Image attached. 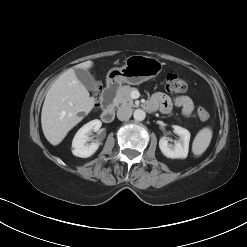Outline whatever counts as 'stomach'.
I'll return each mask as SVG.
<instances>
[{
    "mask_svg": "<svg viewBox=\"0 0 247 247\" xmlns=\"http://www.w3.org/2000/svg\"><path fill=\"white\" fill-rule=\"evenodd\" d=\"M162 69L163 63L156 58L131 55L126 58L124 66L109 70L106 77L107 83L120 85L124 82L130 85H138L156 77Z\"/></svg>",
    "mask_w": 247,
    "mask_h": 247,
    "instance_id": "1",
    "label": "stomach"
}]
</instances>
